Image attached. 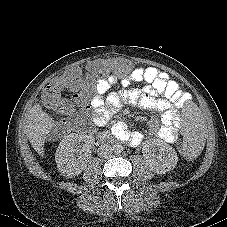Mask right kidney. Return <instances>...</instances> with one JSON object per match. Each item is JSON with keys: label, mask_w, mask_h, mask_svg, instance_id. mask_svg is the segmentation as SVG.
I'll return each instance as SVG.
<instances>
[{"label": "right kidney", "mask_w": 227, "mask_h": 227, "mask_svg": "<svg viewBox=\"0 0 227 227\" xmlns=\"http://www.w3.org/2000/svg\"><path fill=\"white\" fill-rule=\"evenodd\" d=\"M93 144L94 137L92 135L71 133L65 136L55 154L60 174L69 178L79 175L91 156Z\"/></svg>", "instance_id": "obj_1"}]
</instances>
